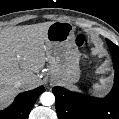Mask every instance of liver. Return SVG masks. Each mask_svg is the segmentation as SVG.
<instances>
[{"instance_id": "6515ba94", "label": "liver", "mask_w": 119, "mask_h": 119, "mask_svg": "<svg viewBox=\"0 0 119 119\" xmlns=\"http://www.w3.org/2000/svg\"><path fill=\"white\" fill-rule=\"evenodd\" d=\"M51 24L0 32V107L16 94L18 87L14 84L20 78H28L23 87L37 85L34 73L41 70L47 60L46 34Z\"/></svg>"}]
</instances>
